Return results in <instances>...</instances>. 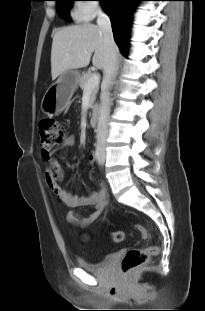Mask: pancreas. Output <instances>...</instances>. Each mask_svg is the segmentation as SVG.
<instances>
[{
  "mask_svg": "<svg viewBox=\"0 0 205 311\" xmlns=\"http://www.w3.org/2000/svg\"><path fill=\"white\" fill-rule=\"evenodd\" d=\"M93 74L91 72H86L83 73L82 76L79 79V85L80 88L85 91V86L88 82V80L91 78ZM99 90V86H95L92 90H91V94H90V99H89V108H93V104L95 102L96 99V95L98 93Z\"/></svg>",
  "mask_w": 205,
  "mask_h": 311,
  "instance_id": "obj_1",
  "label": "pancreas"
}]
</instances>
